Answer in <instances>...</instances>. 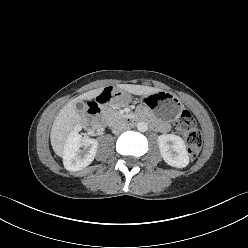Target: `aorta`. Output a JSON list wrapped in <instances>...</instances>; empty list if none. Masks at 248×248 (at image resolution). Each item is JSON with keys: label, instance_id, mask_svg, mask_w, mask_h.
Here are the masks:
<instances>
[{"label": "aorta", "instance_id": "762f6f07", "mask_svg": "<svg viewBox=\"0 0 248 248\" xmlns=\"http://www.w3.org/2000/svg\"><path fill=\"white\" fill-rule=\"evenodd\" d=\"M137 129L140 131V132H145L148 130V124L146 122H139L137 124Z\"/></svg>", "mask_w": 248, "mask_h": 248}]
</instances>
